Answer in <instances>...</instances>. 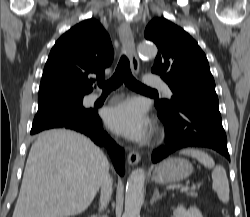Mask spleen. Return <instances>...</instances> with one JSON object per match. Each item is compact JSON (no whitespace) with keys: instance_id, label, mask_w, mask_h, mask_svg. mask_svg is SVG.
I'll list each match as a JSON object with an SVG mask.
<instances>
[{"instance_id":"obj_1","label":"spleen","mask_w":250,"mask_h":217,"mask_svg":"<svg viewBox=\"0 0 250 217\" xmlns=\"http://www.w3.org/2000/svg\"><path fill=\"white\" fill-rule=\"evenodd\" d=\"M181 154L196 158L207 168H212V188L217 193L220 201L227 203L229 201V183L226 175V171L222 166L215 165V162L211 156L199 149H184Z\"/></svg>"}]
</instances>
